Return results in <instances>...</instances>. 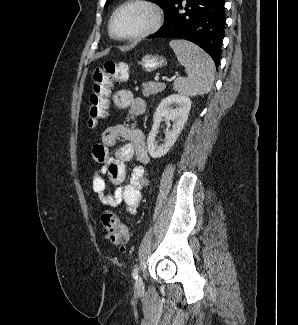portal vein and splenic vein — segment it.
<instances>
[{"mask_svg": "<svg viewBox=\"0 0 298 325\" xmlns=\"http://www.w3.org/2000/svg\"><path fill=\"white\" fill-rule=\"evenodd\" d=\"M155 80H159V76H155Z\"/></svg>", "mask_w": 298, "mask_h": 325, "instance_id": "portal-vein-and-splenic-vein-1", "label": "portal vein and splenic vein"}]
</instances>
